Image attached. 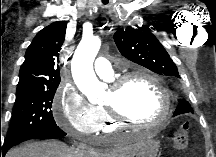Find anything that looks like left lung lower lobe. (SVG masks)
<instances>
[{"instance_id":"0a47b994","label":"left lung lower lobe","mask_w":216,"mask_h":157,"mask_svg":"<svg viewBox=\"0 0 216 157\" xmlns=\"http://www.w3.org/2000/svg\"><path fill=\"white\" fill-rule=\"evenodd\" d=\"M187 105H189L187 102L178 105L174 112V116L190 112L189 109H185Z\"/></svg>"}]
</instances>
